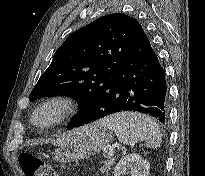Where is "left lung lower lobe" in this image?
Returning a JSON list of instances; mask_svg holds the SVG:
<instances>
[{"mask_svg": "<svg viewBox=\"0 0 205 176\" xmlns=\"http://www.w3.org/2000/svg\"><path fill=\"white\" fill-rule=\"evenodd\" d=\"M166 91L165 72L145 35L74 127L122 111L146 113L165 123Z\"/></svg>", "mask_w": 205, "mask_h": 176, "instance_id": "left-lung-lower-lobe-1", "label": "left lung lower lobe"}]
</instances>
